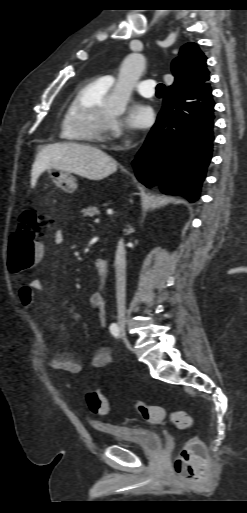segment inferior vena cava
Returning a JSON list of instances; mask_svg holds the SVG:
<instances>
[{"label":"inferior vena cava","mask_w":247,"mask_h":513,"mask_svg":"<svg viewBox=\"0 0 247 513\" xmlns=\"http://www.w3.org/2000/svg\"><path fill=\"white\" fill-rule=\"evenodd\" d=\"M126 145L128 146L129 143L127 142ZM125 248L123 240H120L117 246L116 251V259H115V266H116V298H117V311L118 316L123 317L125 314V267H126V260H125Z\"/></svg>","instance_id":"inferior-vena-cava-1"}]
</instances>
